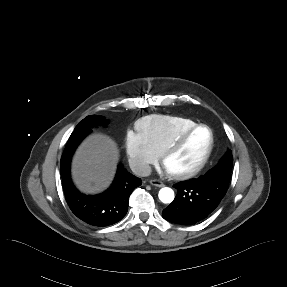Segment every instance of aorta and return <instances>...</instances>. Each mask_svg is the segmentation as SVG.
<instances>
[{
	"instance_id": "aorta-1",
	"label": "aorta",
	"mask_w": 287,
	"mask_h": 287,
	"mask_svg": "<svg viewBox=\"0 0 287 287\" xmlns=\"http://www.w3.org/2000/svg\"><path fill=\"white\" fill-rule=\"evenodd\" d=\"M158 197L162 203L169 204L174 200V191L169 187L160 189Z\"/></svg>"
}]
</instances>
